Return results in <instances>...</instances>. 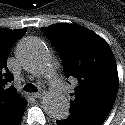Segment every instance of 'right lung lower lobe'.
<instances>
[{
  "mask_svg": "<svg viewBox=\"0 0 125 125\" xmlns=\"http://www.w3.org/2000/svg\"><path fill=\"white\" fill-rule=\"evenodd\" d=\"M26 106L27 102L23 100L11 110L0 115V125H19Z\"/></svg>",
  "mask_w": 125,
  "mask_h": 125,
  "instance_id": "98d812e1",
  "label": "right lung lower lobe"
}]
</instances>
